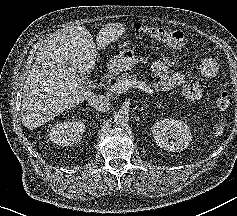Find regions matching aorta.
<instances>
[{
	"instance_id": "1",
	"label": "aorta",
	"mask_w": 237,
	"mask_h": 216,
	"mask_svg": "<svg viewBox=\"0 0 237 216\" xmlns=\"http://www.w3.org/2000/svg\"><path fill=\"white\" fill-rule=\"evenodd\" d=\"M129 122V114L126 111H118L114 114L113 124L117 127L123 128Z\"/></svg>"
}]
</instances>
